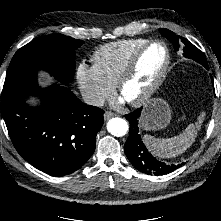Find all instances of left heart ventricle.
<instances>
[{"label": "left heart ventricle", "instance_id": "left-heart-ventricle-1", "mask_svg": "<svg viewBox=\"0 0 221 221\" xmlns=\"http://www.w3.org/2000/svg\"><path fill=\"white\" fill-rule=\"evenodd\" d=\"M165 49L160 44L149 47L139 60L133 78L125 85L122 97L133 100L140 97L156 80L165 62Z\"/></svg>", "mask_w": 221, "mask_h": 221}]
</instances>
